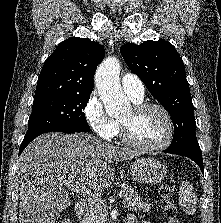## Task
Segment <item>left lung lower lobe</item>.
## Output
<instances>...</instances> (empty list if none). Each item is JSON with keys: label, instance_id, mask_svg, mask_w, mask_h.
Masks as SVG:
<instances>
[{"label": "left lung lower lobe", "instance_id": "0a47b994", "mask_svg": "<svg viewBox=\"0 0 221 223\" xmlns=\"http://www.w3.org/2000/svg\"><path fill=\"white\" fill-rule=\"evenodd\" d=\"M163 152L186 156L192 159L200 167L201 171L204 173L203 159H202V153H201L200 148H195V147L177 148V149L168 148L167 150H164Z\"/></svg>", "mask_w": 221, "mask_h": 223}]
</instances>
